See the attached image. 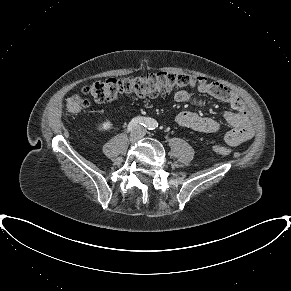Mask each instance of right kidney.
Returning a JSON list of instances; mask_svg holds the SVG:
<instances>
[{"mask_svg":"<svg viewBox=\"0 0 291 291\" xmlns=\"http://www.w3.org/2000/svg\"><path fill=\"white\" fill-rule=\"evenodd\" d=\"M112 127V122L111 121H104L101 125H100V129L102 131H107L109 129H111Z\"/></svg>","mask_w":291,"mask_h":291,"instance_id":"right-kidney-1","label":"right kidney"}]
</instances>
